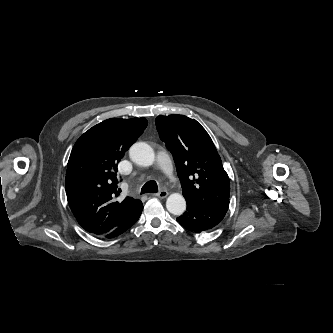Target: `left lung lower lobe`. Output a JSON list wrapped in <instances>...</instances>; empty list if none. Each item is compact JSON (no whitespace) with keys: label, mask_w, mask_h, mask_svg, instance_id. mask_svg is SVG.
I'll return each mask as SVG.
<instances>
[{"label":"left lung lower lobe","mask_w":333,"mask_h":333,"mask_svg":"<svg viewBox=\"0 0 333 333\" xmlns=\"http://www.w3.org/2000/svg\"><path fill=\"white\" fill-rule=\"evenodd\" d=\"M187 211L177 218V221L188 231L200 233L218 225L225 216L224 212L208 210L196 206L192 201L186 200Z\"/></svg>","instance_id":"1"}]
</instances>
